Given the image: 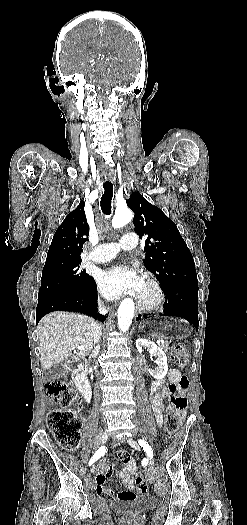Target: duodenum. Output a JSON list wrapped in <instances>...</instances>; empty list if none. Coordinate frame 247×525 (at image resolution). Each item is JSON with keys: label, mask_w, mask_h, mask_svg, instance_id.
<instances>
[{"label": "duodenum", "mask_w": 247, "mask_h": 525, "mask_svg": "<svg viewBox=\"0 0 247 525\" xmlns=\"http://www.w3.org/2000/svg\"><path fill=\"white\" fill-rule=\"evenodd\" d=\"M73 375L78 389L81 391L85 400L89 402L91 400V388L86 379V364L82 361L77 362L73 368Z\"/></svg>", "instance_id": "410a0bca"}]
</instances>
